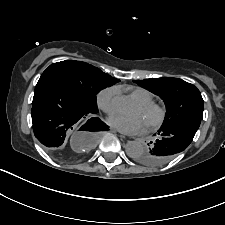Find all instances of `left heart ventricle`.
<instances>
[{"label": "left heart ventricle", "mask_w": 225, "mask_h": 225, "mask_svg": "<svg viewBox=\"0 0 225 225\" xmlns=\"http://www.w3.org/2000/svg\"><path fill=\"white\" fill-rule=\"evenodd\" d=\"M136 114L143 116L147 123L152 119V116L146 115L139 106L137 107Z\"/></svg>", "instance_id": "1"}]
</instances>
